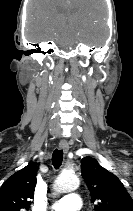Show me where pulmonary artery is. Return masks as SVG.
Returning a JSON list of instances; mask_svg holds the SVG:
<instances>
[{
  "mask_svg": "<svg viewBox=\"0 0 133 211\" xmlns=\"http://www.w3.org/2000/svg\"><path fill=\"white\" fill-rule=\"evenodd\" d=\"M82 206L81 197L77 193H70L53 202L50 208L53 211H78Z\"/></svg>",
  "mask_w": 133,
  "mask_h": 211,
  "instance_id": "e3ab8cb5",
  "label": "pulmonary artery"
}]
</instances>
